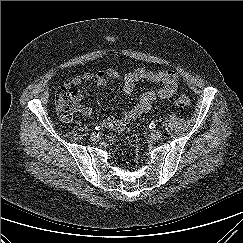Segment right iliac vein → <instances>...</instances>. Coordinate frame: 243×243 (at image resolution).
Returning a JSON list of instances; mask_svg holds the SVG:
<instances>
[{"instance_id":"right-iliac-vein-1","label":"right iliac vein","mask_w":243,"mask_h":243,"mask_svg":"<svg viewBox=\"0 0 243 243\" xmlns=\"http://www.w3.org/2000/svg\"><path fill=\"white\" fill-rule=\"evenodd\" d=\"M90 139L93 141V142H97L98 141V134L97 133H92L90 135Z\"/></svg>"}]
</instances>
